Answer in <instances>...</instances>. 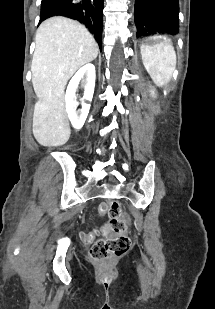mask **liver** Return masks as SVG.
I'll return each instance as SVG.
<instances>
[{
	"instance_id": "1",
	"label": "liver",
	"mask_w": 215,
	"mask_h": 309,
	"mask_svg": "<svg viewBox=\"0 0 215 309\" xmlns=\"http://www.w3.org/2000/svg\"><path fill=\"white\" fill-rule=\"evenodd\" d=\"M98 44L84 24L65 16L41 22L35 36L32 84L38 96L33 112V134L43 146L67 142L71 128L64 88L74 72L94 60Z\"/></svg>"
}]
</instances>
